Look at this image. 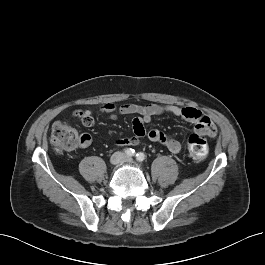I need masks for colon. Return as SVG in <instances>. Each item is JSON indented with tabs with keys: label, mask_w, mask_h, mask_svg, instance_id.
Instances as JSON below:
<instances>
[{
	"label": "colon",
	"mask_w": 265,
	"mask_h": 265,
	"mask_svg": "<svg viewBox=\"0 0 265 265\" xmlns=\"http://www.w3.org/2000/svg\"><path fill=\"white\" fill-rule=\"evenodd\" d=\"M54 150L58 154L75 150L82 143V136L71 126L65 123H56L50 136ZM188 149L195 160H203L208 154V144L200 134L192 133L188 137Z\"/></svg>",
	"instance_id": "5ec220e1"
}]
</instances>
